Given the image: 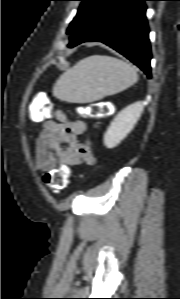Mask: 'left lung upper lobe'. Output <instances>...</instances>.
I'll use <instances>...</instances> for the list:
<instances>
[{"label":"left lung upper lobe","mask_w":180,"mask_h":299,"mask_svg":"<svg viewBox=\"0 0 180 299\" xmlns=\"http://www.w3.org/2000/svg\"><path fill=\"white\" fill-rule=\"evenodd\" d=\"M81 1V5L78 9V13L76 17L71 22L67 34H73L77 27L80 25L81 21L83 20L85 14L91 8V6L96 2V0H78Z\"/></svg>","instance_id":"5c2ea615"}]
</instances>
